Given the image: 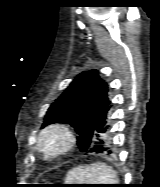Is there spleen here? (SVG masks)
<instances>
[{
    "mask_svg": "<svg viewBox=\"0 0 160 187\" xmlns=\"http://www.w3.org/2000/svg\"><path fill=\"white\" fill-rule=\"evenodd\" d=\"M66 181L68 184H116V172L105 163L78 166L71 169Z\"/></svg>",
    "mask_w": 160,
    "mask_h": 187,
    "instance_id": "3e777b00",
    "label": "spleen"
}]
</instances>
